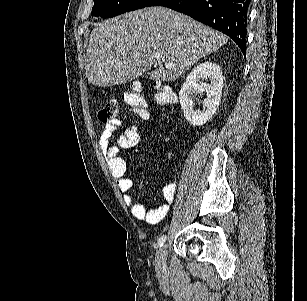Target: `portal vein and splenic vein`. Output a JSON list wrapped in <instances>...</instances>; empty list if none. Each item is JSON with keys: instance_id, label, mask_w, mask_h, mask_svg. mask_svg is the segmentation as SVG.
Here are the masks:
<instances>
[{"instance_id": "obj_1", "label": "portal vein and splenic vein", "mask_w": 307, "mask_h": 301, "mask_svg": "<svg viewBox=\"0 0 307 301\" xmlns=\"http://www.w3.org/2000/svg\"><path fill=\"white\" fill-rule=\"evenodd\" d=\"M155 58H161V54H155ZM165 66H170L169 62H165Z\"/></svg>"}]
</instances>
